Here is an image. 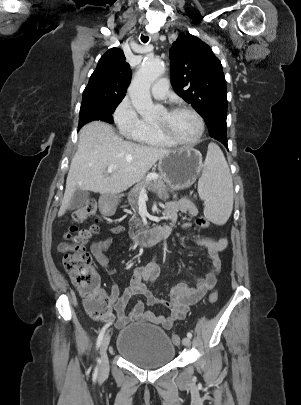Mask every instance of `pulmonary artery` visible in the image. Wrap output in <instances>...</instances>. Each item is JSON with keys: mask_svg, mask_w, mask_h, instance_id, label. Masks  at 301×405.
I'll use <instances>...</instances> for the list:
<instances>
[{"mask_svg": "<svg viewBox=\"0 0 301 405\" xmlns=\"http://www.w3.org/2000/svg\"><path fill=\"white\" fill-rule=\"evenodd\" d=\"M169 82L166 78L155 81L151 87V93L156 99H164L168 94Z\"/></svg>", "mask_w": 301, "mask_h": 405, "instance_id": "pulmonary-artery-1", "label": "pulmonary artery"}]
</instances>
